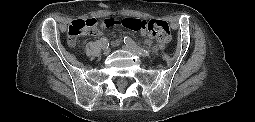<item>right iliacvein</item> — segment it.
I'll list each match as a JSON object with an SVG mask.
<instances>
[{
  "label": "right iliac vein",
  "instance_id": "63e3f726",
  "mask_svg": "<svg viewBox=\"0 0 255 122\" xmlns=\"http://www.w3.org/2000/svg\"><path fill=\"white\" fill-rule=\"evenodd\" d=\"M110 53V48H105L103 54L106 56Z\"/></svg>",
  "mask_w": 255,
  "mask_h": 122
}]
</instances>
